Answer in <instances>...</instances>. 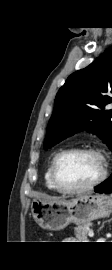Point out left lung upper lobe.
Returning <instances> with one entry per match:
<instances>
[{"instance_id":"5c2ea615","label":"left lung upper lobe","mask_w":112,"mask_h":270,"mask_svg":"<svg viewBox=\"0 0 112 270\" xmlns=\"http://www.w3.org/2000/svg\"><path fill=\"white\" fill-rule=\"evenodd\" d=\"M112 47L84 69L71 74L59 89L44 149L82 130L98 135L112 150Z\"/></svg>"}]
</instances>
